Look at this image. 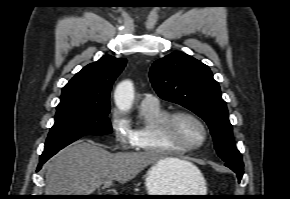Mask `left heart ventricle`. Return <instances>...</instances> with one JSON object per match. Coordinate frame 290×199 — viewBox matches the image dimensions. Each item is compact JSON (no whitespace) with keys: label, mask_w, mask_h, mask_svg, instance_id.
I'll use <instances>...</instances> for the list:
<instances>
[{"label":"left heart ventricle","mask_w":290,"mask_h":199,"mask_svg":"<svg viewBox=\"0 0 290 199\" xmlns=\"http://www.w3.org/2000/svg\"><path fill=\"white\" fill-rule=\"evenodd\" d=\"M172 136L186 145H195L201 142L203 131L195 121L181 117L173 124Z\"/></svg>","instance_id":"left-heart-ventricle-1"}]
</instances>
